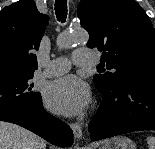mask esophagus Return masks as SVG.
Here are the masks:
<instances>
[{
  "label": "esophagus",
  "instance_id": "esophagus-1",
  "mask_svg": "<svg viewBox=\"0 0 155 149\" xmlns=\"http://www.w3.org/2000/svg\"><path fill=\"white\" fill-rule=\"evenodd\" d=\"M70 127L73 131L74 137L80 139L82 137V128L78 123H71Z\"/></svg>",
  "mask_w": 155,
  "mask_h": 149
}]
</instances>
